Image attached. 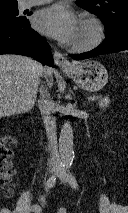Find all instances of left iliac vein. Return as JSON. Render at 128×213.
Instances as JSON below:
<instances>
[{
    "label": "left iliac vein",
    "mask_w": 128,
    "mask_h": 213,
    "mask_svg": "<svg viewBox=\"0 0 128 213\" xmlns=\"http://www.w3.org/2000/svg\"><path fill=\"white\" fill-rule=\"evenodd\" d=\"M57 175H58V178L66 183L67 182V177H66V172L63 168H59L58 171H57Z\"/></svg>",
    "instance_id": "4c4485c4"
}]
</instances>
